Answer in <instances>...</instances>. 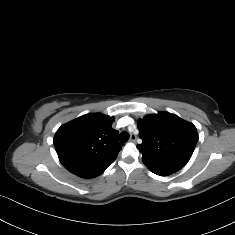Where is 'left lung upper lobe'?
I'll return each instance as SVG.
<instances>
[{
    "label": "left lung upper lobe",
    "instance_id": "obj_1",
    "mask_svg": "<svg viewBox=\"0 0 235 235\" xmlns=\"http://www.w3.org/2000/svg\"><path fill=\"white\" fill-rule=\"evenodd\" d=\"M142 157L185 166L198 141L196 127L168 112L147 115L138 121Z\"/></svg>",
    "mask_w": 235,
    "mask_h": 235
}]
</instances>
